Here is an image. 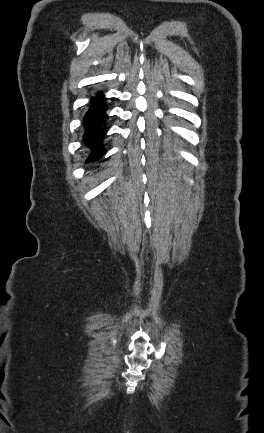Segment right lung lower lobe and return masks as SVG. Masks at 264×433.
<instances>
[{
	"instance_id": "98d812e1",
	"label": "right lung lower lobe",
	"mask_w": 264,
	"mask_h": 433,
	"mask_svg": "<svg viewBox=\"0 0 264 433\" xmlns=\"http://www.w3.org/2000/svg\"><path fill=\"white\" fill-rule=\"evenodd\" d=\"M105 100L103 93H96L95 97L90 99L83 119L85 129L83 140L89 148L93 149L94 157L104 151L102 141L107 131L106 119L108 118Z\"/></svg>"
}]
</instances>
